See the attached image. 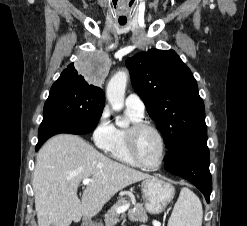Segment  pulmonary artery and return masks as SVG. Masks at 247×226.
Masks as SVG:
<instances>
[{
	"label": "pulmonary artery",
	"mask_w": 247,
	"mask_h": 226,
	"mask_svg": "<svg viewBox=\"0 0 247 226\" xmlns=\"http://www.w3.org/2000/svg\"><path fill=\"white\" fill-rule=\"evenodd\" d=\"M125 105L127 109L132 110L133 112L143 115L145 111V104L139 95L135 93L129 94L125 99Z\"/></svg>",
	"instance_id": "1"
}]
</instances>
